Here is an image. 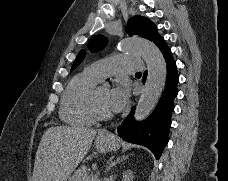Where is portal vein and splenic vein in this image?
Wrapping results in <instances>:
<instances>
[{
    "mask_svg": "<svg viewBox=\"0 0 228 181\" xmlns=\"http://www.w3.org/2000/svg\"><path fill=\"white\" fill-rule=\"evenodd\" d=\"M97 172L100 174L102 171L99 169Z\"/></svg>",
    "mask_w": 228,
    "mask_h": 181,
    "instance_id": "obj_1",
    "label": "portal vein and splenic vein"
}]
</instances>
